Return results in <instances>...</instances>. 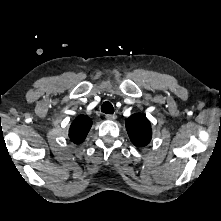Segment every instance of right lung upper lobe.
<instances>
[{
  "label": "right lung upper lobe",
  "instance_id": "right-lung-upper-lobe-1",
  "mask_svg": "<svg viewBox=\"0 0 221 221\" xmlns=\"http://www.w3.org/2000/svg\"><path fill=\"white\" fill-rule=\"evenodd\" d=\"M91 126V118L85 115H79L70 126L69 138L75 144L82 143L85 140Z\"/></svg>",
  "mask_w": 221,
  "mask_h": 221
}]
</instances>
